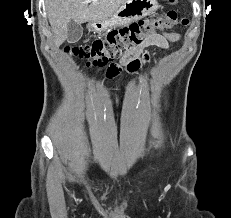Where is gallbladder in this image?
I'll use <instances>...</instances> for the list:
<instances>
[{
    "label": "gallbladder",
    "instance_id": "gallbladder-1",
    "mask_svg": "<svg viewBox=\"0 0 231 218\" xmlns=\"http://www.w3.org/2000/svg\"><path fill=\"white\" fill-rule=\"evenodd\" d=\"M67 32H68V36H67L68 43H76L82 37L83 27L81 26V24H78L75 21L71 20L68 23Z\"/></svg>",
    "mask_w": 231,
    "mask_h": 218
}]
</instances>
